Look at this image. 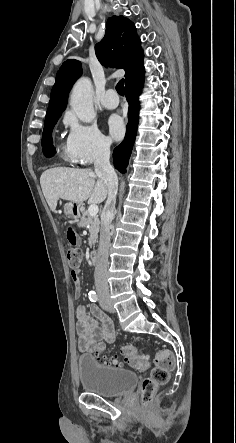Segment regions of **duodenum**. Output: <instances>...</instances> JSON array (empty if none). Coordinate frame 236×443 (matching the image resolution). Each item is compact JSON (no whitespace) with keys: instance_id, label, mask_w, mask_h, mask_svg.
Segmentation results:
<instances>
[{"instance_id":"duodenum-1","label":"duodenum","mask_w":236,"mask_h":443,"mask_svg":"<svg viewBox=\"0 0 236 443\" xmlns=\"http://www.w3.org/2000/svg\"><path fill=\"white\" fill-rule=\"evenodd\" d=\"M89 259H90V261H91L92 264H95L96 261H97L96 254H95V253H90V255H89Z\"/></svg>"}]
</instances>
